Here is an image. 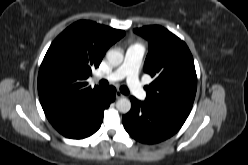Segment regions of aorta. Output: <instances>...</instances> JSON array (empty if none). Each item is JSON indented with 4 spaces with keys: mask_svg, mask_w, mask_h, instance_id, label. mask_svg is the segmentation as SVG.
<instances>
[{
    "mask_svg": "<svg viewBox=\"0 0 248 165\" xmlns=\"http://www.w3.org/2000/svg\"><path fill=\"white\" fill-rule=\"evenodd\" d=\"M107 61L112 66H118L123 62L124 56L122 52L117 49H111L106 54ZM116 108L121 113H128L131 109V102L127 98H120L116 102Z\"/></svg>",
    "mask_w": 248,
    "mask_h": 165,
    "instance_id": "1",
    "label": "aorta"
}]
</instances>
